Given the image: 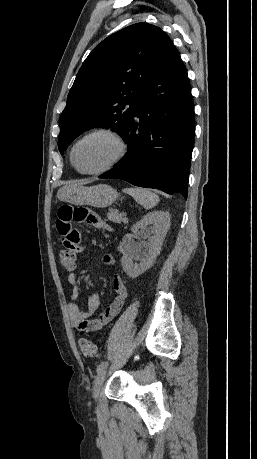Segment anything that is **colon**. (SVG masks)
I'll list each match as a JSON object with an SVG mask.
<instances>
[{"instance_id":"obj_1","label":"colon","mask_w":257,"mask_h":459,"mask_svg":"<svg viewBox=\"0 0 257 459\" xmlns=\"http://www.w3.org/2000/svg\"><path fill=\"white\" fill-rule=\"evenodd\" d=\"M59 261L65 268H74L76 265L75 251H66L65 247H63L59 253ZM79 347L83 355L86 357H95L97 354V348L95 344L88 339H81L79 341Z\"/></svg>"}]
</instances>
